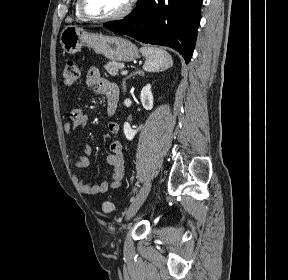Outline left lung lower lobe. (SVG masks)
I'll list each match as a JSON object with an SVG mask.
<instances>
[{
  "label": "left lung lower lobe",
  "mask_w": 288,
  "mask_h": 280,
  "mask_svg": "<svg viewBox=\"0 0 288 280\" xmlns=\"http://www.w3.org/2000/svg\"><path fill=\"white\" fill-rule=\"evenodd\" d=\"M202 1L139 0L126 18L103 26L143 43L171 47L189 63L197 38Z\"/></svg>",
  "instance_id": "0a47b994"
}]
</instances>
